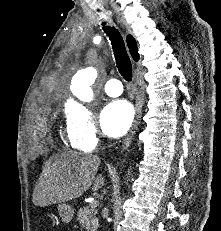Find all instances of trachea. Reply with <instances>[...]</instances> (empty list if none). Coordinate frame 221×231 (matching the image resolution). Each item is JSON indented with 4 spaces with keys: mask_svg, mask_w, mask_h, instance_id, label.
I'll return each mask as SVG.
<instances>
[{
    "mask_svg": "<svg viewBox=\"0 0 221 231\" xmlns=\"http://www.w3.org/2000/svg\"><path fill=\"white\" fill-rule=\"evenodd\" d=\"M103 30L111 40L112 48L115 55V60L119 73L126 81L132 79V65L122 36L114 27L106 26V22L102 23Z\"/></svg>",
    "mask_w": 221,
    "mask_h": 231,
    "instance_id": "3493384b",
    "label": "trachea"
}]
</instances>
